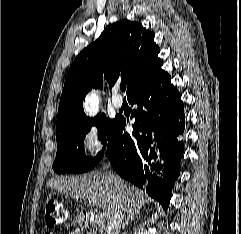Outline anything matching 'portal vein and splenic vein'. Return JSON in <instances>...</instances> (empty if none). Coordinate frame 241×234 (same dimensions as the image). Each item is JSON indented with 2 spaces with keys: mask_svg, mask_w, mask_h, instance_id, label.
I'll return each mask as SVG.
<instances>
[{
  "mask_svg": "<svg viewBox=\"0 0 241 234\" xmlns=\"http://www.w3.org/2000/svg\"><path fill=\"white\" fill-rule=\"evenodd\" d=\"M89 205H92V206H95V207H98L99 206V202L96 201V200H89L88 202ZM104 222V217L101 213H98L95 215V220H94V223L96 225H102Z\"/></svg>",
  "mask_w": 241,
  "mask_h": 234,
  "instance_id": "18ae733b",
  "label": "portal vein and splenic vein"
}]
</instances>
